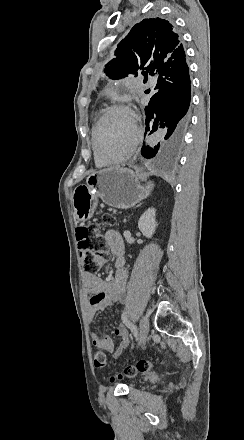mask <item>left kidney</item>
<instances>
[{
	"mask_svg": "<svg viewBox=\"0 0 244 440\" xmlns=\"http://www.w3.org/2000/svg\"><path fill=\"white\" fill-rule=\"evenodd\" d=\"M155 208H148L139 218L138 228L146 238H152L158 224L155 220Z\"/></svg>",
	"mask_w": 244,
	"mask_h": 440,
	"instance_id": "1",
	"label": "left kidney"
}]
</instances>
